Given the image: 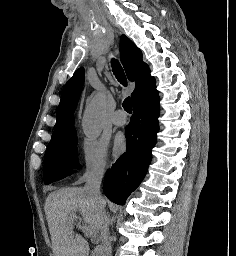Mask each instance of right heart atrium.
I'll list each match as a JSON object with an SVG mask.
<instances>
[{"label": "right heart atrium", "instance_id": "right-heart-atrium-1", "mask_svg": "<svg viewBox=\"0 0 236 256\" xmlns=\"http://www.w3.org/2000/svg\"><path fill=\"white\" fill-rule=\"evenodd\" d=\"M79 163L78 182L103 177L108 167L106 146L99 141H85L79 153Z\"/></svg>", "mask_w": 236, "mask_h": 256}]
</instances>
